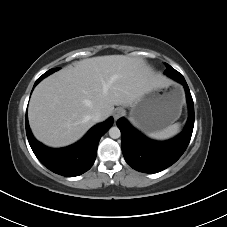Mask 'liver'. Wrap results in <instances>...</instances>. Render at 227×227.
<instances>
[{
  "instance_id": "obj_1",
  "label": "liver",
  "mask_w": 227,
  "mask_h": 227,
  "mask_svg": "<svg viewBox=\"0 0 227 227\" xmlns=\"http://www.w3.org/2000/svg\"><path fill=\"white\" fill-rule=\"evenodd\" d=\"M164 81L139 58L108 55L87 58L45 78L34 89L28 118L34 136L51 147L79 140L94 124V112L107 119L114 106L132 107Z\"/></svg>"
}]
</instances>
